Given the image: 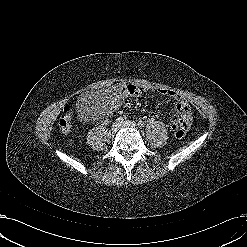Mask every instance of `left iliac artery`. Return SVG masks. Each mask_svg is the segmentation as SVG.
I'll list each match as a JSON object with an SVG mask.
<instances>
[{"label": "left iliac artery", "instance_id": "44dca946", "mask_svg": "<svg viewBox=\"0 0 247 247\" xmlns=\"http://www.w3.org/2000/svg\"><path fill=\"white\" fill-rule=\"evenodd\" d=\"M138 125H141V126H142V125H143V123L140 121V122L138 123Z\"/></svg>", "mask_w": 247, "mask_h": 247}]
</instances>
